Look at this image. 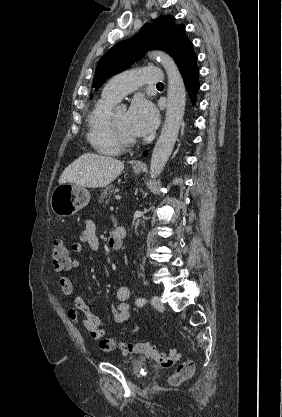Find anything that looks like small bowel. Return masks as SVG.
Segmentation results:
<instances>
[{
  "mask_svg": "<svg viewBox=\"0 0 282 417\" xmlns=\"http://www.w3.org/2000/svg\"><path fill=\"white\" fill-rule=\"evenodd\" d=\"M113 229L109 235L110 246L116 248L117 241L114 238L115 231L119 227L117 220L112 217ZM83 244H86L92 251L98 252L100 250V239L96 234V224L91 219H85L83 222V229L79 234V242L72 245V251L75 254H80L83 250ZM115 244V246H113ZM122 246V245H121ZM81 267V261L79 259H73L71 261L70 268L79 269ZM59 286L61 295L68 297L73 293V284L68 276L61 275L59 277ZM130 296V289L127 286H119L115 290V298L117 306L112 310V322L117 325L125 324L130 317L128 299ZM68 318L75 325H82L89 331L93 340L108 339L105 323L97 316L87 305L83 297L76 295L74 298V306L67 310Z\"/></svg>",
  "mask_w": 282,
  "mask_h": 417,
  "instance_id": "1",
  "label": "small bowel"
}]
</instances>
